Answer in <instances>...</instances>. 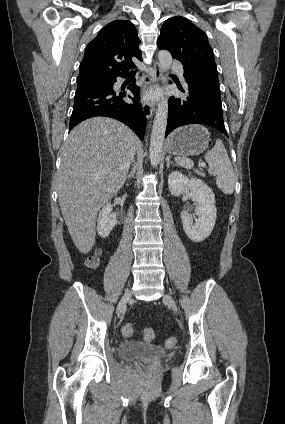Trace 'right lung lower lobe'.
Masks as SVG:
<instances>
[{
    "label": "right lung lower lobe",
    "mask_w": 285,
    "mask_h": 424,
    "mask_svg": "<svg viewBox=\"0 0 285 424\" xmlns=\"http://www.w3.org/2000/svg\"><path fill=\"white\" fill-rule=\"evenodd\" d=\"M126 77V76H123ZM116 79L107 84L78 87L75 92L74 107L70 118L69 130L91 117L106 116L117 119L130 127L141 139L146 129V116L138 103L140 89L134 83L129 87L134 97L126 92L116 93L113 85ZM129 97L133 104L123 98Z\"/></svg>",
    "instance_id": "1"
}]
</instances>
